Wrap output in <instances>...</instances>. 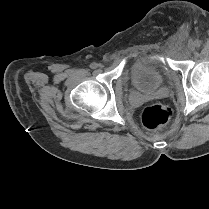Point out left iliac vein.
<instances>
[{"mask_svg": "<svg viewBox=\"0 0 209 209\" xmlns=\"http://www.w3.org/2000/svg\"><path fill=\"white\" fill-rule=\"evenodd\" d=\"M194 48H195V44H194V43H190V44H189V49H190L191 51H193Z\"/></svg>", "mask_w": 209, "mask_h": 209, "instance_id": "left-iliac-vein-1", "label": "left iliac vein"}]
</instances>
